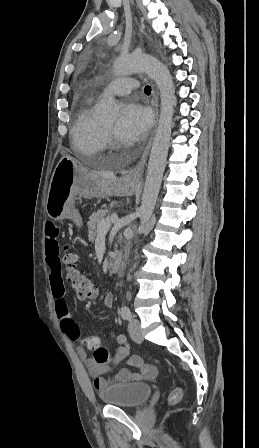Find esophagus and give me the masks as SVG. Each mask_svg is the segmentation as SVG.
I'll return each instance as SVG.
<instances>
[{"label":"esophagus","instance_id":"34e87169","mask_svg":"<svg viewBox=\"0 0 259 448\" xmlns=\"http://www.w3.org/2000/svg\"><path fill=\"white\" fill-rule=\"evenodd\" d=\"M152 105L155 107V127L157 125V120H158V97L154 96L153 101H152ZM151 143H152V137L150 138L142 157L140 158V161L137 163V165H135L133 168H131L127 174L125 175V179L131 183H140L141 180V174L142 171L144 169V165L146 163L147 157L149 155V151H150V147H151Z\"/></svg>","mask_w":259,"mask_h":448}]
</instances>
